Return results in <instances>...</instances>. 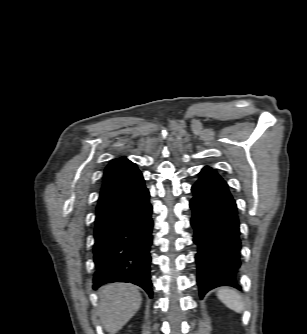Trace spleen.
Listing matches in <instances>:
<instances>
[{
  "label": "spleen",
  "instance_id": "3e777b00",
  "mask_svg": "<svg viewBox=\"0 0 307 334\" xmlns=\"http://www.w3.org/2000/svg\"><path fill=\"white\" fill-rule=\"evenodd\" d=\"M217 297L222 303L235 312L241 313L244 309V303L240 293L233 289L227 287L220 288L217 291Z\"/></svg>",
  "mask_w": 307,
  "mask_h": 334
}]
</instances>
